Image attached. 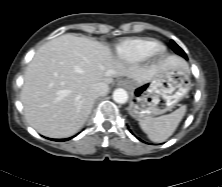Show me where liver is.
<instances>
[{"label":"liver","instance_id":"6515ba94","mask_svg":"<svg viewBox=\"0 0 222 187\" xmlns=\"http://www.w3.org/2000/svg\"><path fill=\"white\" fill-rule=\"evenodd\" d=\"M186 67L171 55L159 64L128 66L112 50L95 40L64 34L42 45L29 63L21 91L25 118L40 134L65 138L87 121L95 97L90 88L127 76L137 83L150 81L161 69Z\"/></svg>","mask_w":222,"mask_h":187}]
</instances>
